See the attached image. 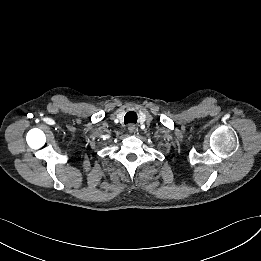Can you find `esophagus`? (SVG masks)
<instances>
[{"instance_id":"1","label":"esophagus","mask_w":261,"mask_h":261,"mask_svg":"<svg viewBox=\"0 0 261 261\" xmlns=\"http://www.w3.org/2000/svg\"><path fill=\"white\" fill-rule=\"evenodd\" d=\"M128 130H129V132H131V133H135V131H136L135 125H134V124H130V125L128 126Z\"/></svg>"}]
</instances>
